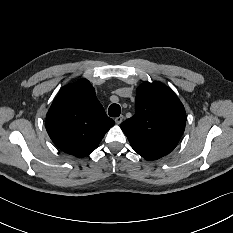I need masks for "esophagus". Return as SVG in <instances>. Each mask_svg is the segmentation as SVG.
Segmentation results:
<instances>
[{"mask_svg": "<svg viewBox=\"0 0 233 233\" xmlns=\"http://www.w3.org/2000/svg\"><path fill=\"white\" fill-rule=\"evenodd\" d=\"M124 119V115H120L117 118H115V123L120 124Z\"/></svg>", "mask_w": 233, "mask_h": 233, "instance_id": "1", "label": "esophagus"}]
</instances>
